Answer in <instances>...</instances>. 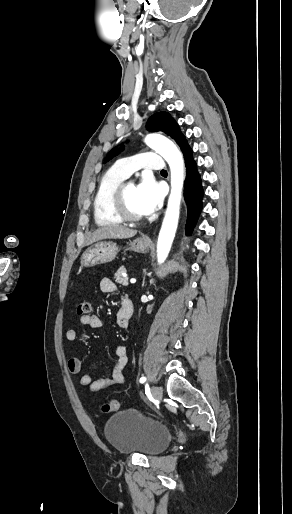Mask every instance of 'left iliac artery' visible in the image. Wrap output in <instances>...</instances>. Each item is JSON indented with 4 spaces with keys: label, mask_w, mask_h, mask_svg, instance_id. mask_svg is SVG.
<instances>
[{
    "label": "left iliac artery",
    "mask_w": 292,
    "mask_h": 514,
    "mask_svg": "<svg viewBox=\"0 0 292 514\" xmlns=\"http://www.w3.org/2000/svg\"><path fill=\"white\" fill-rule=\"evenodd\" d=\"M145 381H146V377H141L139 380L140 383H144Z\"/></svg>",
    "instance_id": "left-iliac-artery-1"
}]
</instances>
